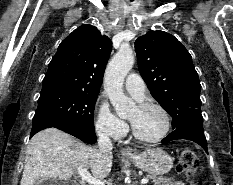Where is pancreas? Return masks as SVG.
I'll use <instances>...</instances> for the list:
<instances>
[{
  "label": "pancreas",
  "instance_id": "obj_1",
  "mask_svg": "<svg viewBox=\"0 0 233 185\" xmlns=\"http://www.w3.org/2000/svg\"><path fill=\"white\" fill-rule=\"evenodd\" d=\"M146 178L151 179L154 185H174L173 178H167L156 175H147Z\"/></svg>",
  "mask_w": 233,
  "mask_h": 185
}]
</instances>
